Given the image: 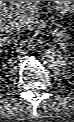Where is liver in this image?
I'll list each match as a JSON object with an SVG mask.
<instances>
[{
  "mask_svg": "<svg viewBox=\"0 0 74 122\" xmlns=\"http://www.w3.org/2000/svg\"><path fill=\"white\" fill-rule=\"evenodd\" d=\"M41 1H0V45L7 43L12 36L13 20H24L27 30L32 31L39 24Z\"/></svg>",
  "mask_w": 74,
  "mask_h": 122,
  "instance_id": "6515ba94",
  "label": "liver"
}]
</instances>
